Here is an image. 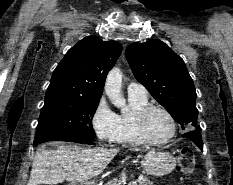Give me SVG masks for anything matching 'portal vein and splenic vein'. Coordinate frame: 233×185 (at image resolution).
Wrapping results in <instances>:
<instances>
[{"label": "portal vein and splenic vein", "instance_id": "18ae733b", "mask_svg": "<svg viewBox=\"0 0 233 185\" xmlns=\"http://www.w3.org/2000/svg\"><path fill=\"white\" fill-rule=\"evenodd\" d=\"M65 168L78 169V168H80V166H78V165H70V166H65ZM128 185H133V184H128Z\"/></svg>", "mask_w": 233, "mask_h": 185}]
</instances>
